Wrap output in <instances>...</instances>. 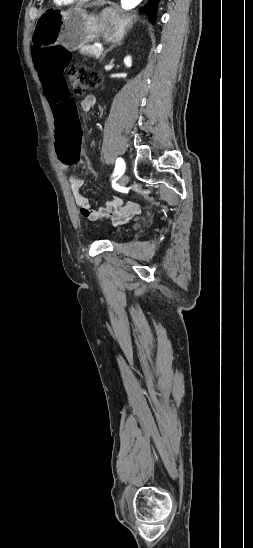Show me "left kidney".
Returning <instances> with one entry per match:
<instances>
[{"label":"left kidney","instance_id":"obj_1","mask_svg":"<svg viewBox=\"0 0 253 548\" xmlns=\"http://www.w3.org/2000/svg\"><path fill=\"white\" fill-rule=\"evenodd\" d=\"M124 64L126 67L130 68L132 66V58L131 56H126L124 58Z\"/></svg>","mask_w":253,"mask_h":548}]
</instances>
